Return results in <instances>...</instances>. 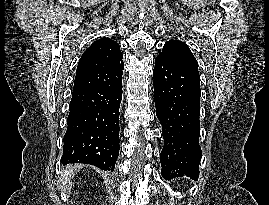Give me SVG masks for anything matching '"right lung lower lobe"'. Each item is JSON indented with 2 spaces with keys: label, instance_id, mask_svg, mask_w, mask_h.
Instances as JSON below:
<instances>
[{
  "label": "right lung lower lobe",
  "instance_id": "right-lung-lower-lobe-1",
  "mask_svg": "<svg viewBox=\"0 0 269 205\" xmlns=\"http://www.w3.org/2000/svg\"><path fill=\"white\" fill-rule=\"evenodd\" d=\"M122 79L112 85L73 91L61 162L113 171L119 155Z\"/></svg>",
  "mask_w": 269,
  "mask_h": 205
}]
</instances>
